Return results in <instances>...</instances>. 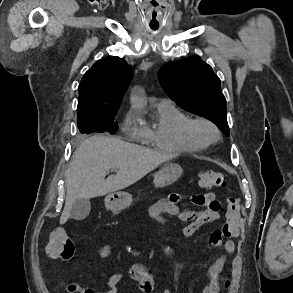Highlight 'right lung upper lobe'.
<instances>
[{
	"label": "right lung upper lobe",
	"mask_w": 293,
	"mask_h": 293,
	"mask_svg": "<svg viewBox=\"0 0 293 293\" xmlns=\"http://www.w3.org/2000/svg\"><path fill=\"white\" fill-rule=\"evenodd\" d=\"M132 78V67L122 58L109 56L97 61L79 85L77 112L99 115L117 112Z\"/></svg>",
	"instance_id": "cb5924a9"
}]
</instances>
